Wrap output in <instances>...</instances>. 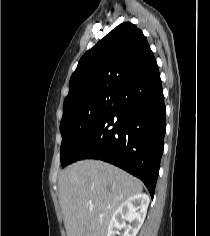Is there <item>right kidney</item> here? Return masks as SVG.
I'll list each match as a JSON object with an SVG mask.
<instances>
[{
	"label": "right kidney",
	"mask_w": 210,
	"mask_h": 236,
	"mask_svg": "<svg viewBox=\"0 0 210 236\" xmlns=\"http://www.w3.org/2000/svg\"><path fill=\"white\" fill-rule=\"evenodd\" d=\"M150 202L147 194H136L123 202L112 215L107 236H116L124 228L123 236H136L141 228ZM123 220L129 223L126 225Z\"/></svg>",
	"instance_id": "1"
}]
</instances>
